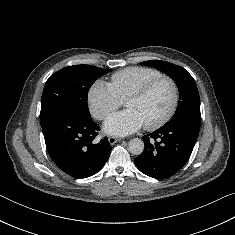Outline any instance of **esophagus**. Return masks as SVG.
I'll use <instances>...</instances> for the list:
<instances>
[{"instance_id": "1", "label": "esophagus", "mask_w": 235, "mask_h": 235, "mask_svg": "<svg viewBox=\"0 0 235 235\" xmlns=\"http://www.w3.org/2000/svg\"><path fill=\"white\" fill-rule=\"evenodd\" d=\"M108 141L111 145L121 141V138L115 137V136H109Z\"/></svg>"}]
</instances>
